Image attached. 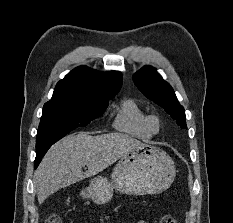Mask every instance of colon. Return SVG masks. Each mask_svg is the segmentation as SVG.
<instances>
[{
    "label": "colon",
    "instance_id": "colon-1",
    "mask_svg": "<svg viewBox=\"0 0 233 223\" xmlns=\"http://www.w3.org/2000/svg\"><path fill=\"white\" fill-rule=\"evenodd\" d=\"M46 223H61V219L57 214H51L46 220ZM160 223H177L176 219L171 215H164Z\"/></svg>",
    "mask_w": 233,
    "mask_h": 223
}]
</instances>
